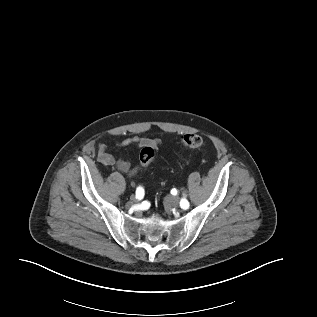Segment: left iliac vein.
<instances>
[{"label":"left iliac vein","mask_w":317,"mask_h":317,"mask_svg":"<svg viewBox=\"0 0 317 317\" xmlns=\"http://www.w3.org/2000/svg\"><path fill=\"white\" fill-rule=\"evenodd\" d=\"M166 202H167V204L169 205V206H172V207H178L179 206V204H180V199H179V197H177V196H168L167 198H166Z\"/></svg>","instance_id":"obj_1"}]
</instances>
